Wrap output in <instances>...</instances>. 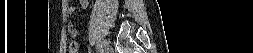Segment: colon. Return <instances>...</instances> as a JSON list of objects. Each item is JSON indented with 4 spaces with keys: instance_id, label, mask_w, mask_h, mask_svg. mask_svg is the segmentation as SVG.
Masks as SVG:
<instances>
[{
    "instance_id": "obj_1",
    "label": "colon",
    "mask_w": 253,
    "mask_h": 53,
    "mask_svg": "<svg viewBox=\"0 0 253 53\" xmlns=\"http://www.w3.org/2000/svg\"><path fill=\"white\" fill-rule=\"evenodd\" d=\"M70 53H78V45L76 42H72L70 44V49H69Z\"/></svg>"
}]
</instances>
